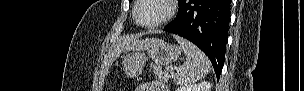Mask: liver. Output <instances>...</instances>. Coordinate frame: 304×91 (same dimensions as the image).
Segmentation results:
<instances>
[{
	"mask_svg": "<svg viewBox=\"0 0 304 91\" xmlns=\"http://www.w3.org/2000/svg\"><path fill=\"white\" fill-rule=\"evenodd\" d=\"M149 40H140L134 37H125L122 38L119 43H117L112 52L105 58L104 63L102 64V74L103 76L108 74L110 65L114 60L124 51H134V50H143L147 46Z\"/></svg>",
	"mask_w": 304,
	"mask_h": 91,
	"instance_id": "1",
	"label": "liver"
}]
</instances>
